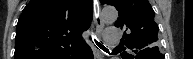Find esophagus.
Returning <instances> with one entry per match:
<instances>
[{
	"label": "esophagus",
	"mask_w": 193,
	"mask_h": 59,
	"mask_svg": "<svg viewBox=\"0 0 193 59\" xmlns=\"http://www.w3.org/2000/svg\"><path fill=\"white\" fill-rule=\"evenodd\" d=\"M93 8H94V18H95V23H96V32H97V34H99L104 27V22L100 17V2L98 0H94ZM94 40H97V37H94L93 43H91L93 49H95V46H94L95 41ZM95 58L99 59L100 57L98 55H95Z\"/></svg>",
	"instance_id": "1"
}]
</instances>
